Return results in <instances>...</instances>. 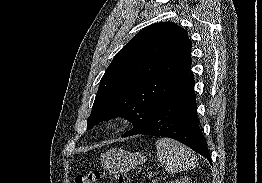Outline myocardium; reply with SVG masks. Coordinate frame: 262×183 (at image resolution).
<instances>
[{"mask_svg": "<svg viewBox=\"0 0 262 183\" xmlns=\"http://www.w3.org/2000/svg\"><path fill=\"white\" fill-rule=\"evenodd\" d=\"M125 123L124 118L118 116H112L104 121V128L108 132H114L123 127Z\"/></svg>", "mask_w": 262, "mask_h": 183, "instance_id": "myocardium-1", "label": "myocardium"}]
</instances>
